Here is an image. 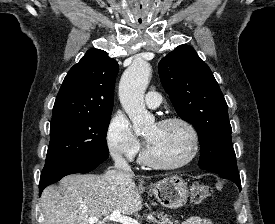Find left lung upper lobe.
<instances>
[{"label":"left lung upper lobe","mask_w":275,"mask_h":224,"mask_svg":"<svg viewBox=\"0 0 275 224\" xmlns=\"http://www.w3.org/2000/svg\"><path fill=\"white\" fill-rule=\"evenodd\" d=\"M158 70L177 114L197 130L200 168L239 177L228 107L207 64L191 46L180 45L161 59Z\"/></svg>","instance_id":"1"}]
</instances>
